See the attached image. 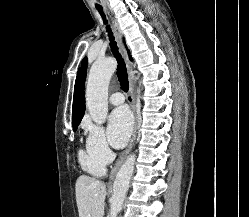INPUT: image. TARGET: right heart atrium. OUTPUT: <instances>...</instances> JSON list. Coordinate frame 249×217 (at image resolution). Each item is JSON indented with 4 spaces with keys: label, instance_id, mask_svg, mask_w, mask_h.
Instances as JSON below:
<instances>
[{
    "label": "right heart atrium",
    "instance_id": "obj_1",
    "mask_svg": "<svg viewBox=\"0 0 249 217\" xmlns=\"http://www.w3.org/2000/svg\"><path fill=\"white\" fill-rule=\"evenodd\" d=\"M84 128L87 134V150L103 164H108L113 158V153L108 145L104 128L90 121L85 122Z\"/></svg>",
    "mask_w": 249,
    "mask_h": 217
}]
</instances>
